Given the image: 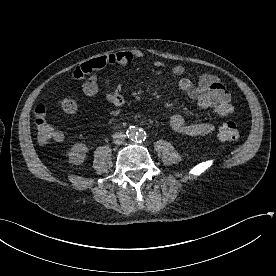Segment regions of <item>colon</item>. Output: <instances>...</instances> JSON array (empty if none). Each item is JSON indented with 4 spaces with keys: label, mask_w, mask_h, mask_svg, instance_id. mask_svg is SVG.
<instances>
[{
    "label": "colon",
    "mask_w": 276,
    "mask_h": 276,
    "mask_svg": "<svg viewBox=\"0 0 276 276\" xmlns=\"http://www.w3.org/2000/svg\"><path fill=\"white\" fill-rule=\"evenodd\" d=\"M59 108L66 114H74L77 109L75 100L72 97H63L59 103ZM35 124L38 133V139L43 144H50L62 140L61 131L55 128L47 119L46 109L39 105L35 110ZM218 138L223 142L232 143L239 138V130L235 123L226 122L222 124L217 131Z\"/></svg>",
    "instance_id": "colon-1"
}]
</instances>
